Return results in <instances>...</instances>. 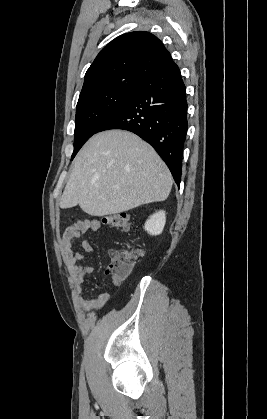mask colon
Returning a JSON list of instances; mask_svg holds the SVG:
<instances>
[{"instance_id":"obj_1","label":"colon","mask_w":267,"mask_h":419,"mask_svg":"<svg viewBox=\"0 0 267 419\" xmlns=\"http://www.w3.org/2000/svg\"><path fill=\"white\" fill-rule=\"evenodd\" d=\"M101 222L107 226L119 228L126 232L132 229V221L125 213L106 215L101 218ZM140 255V250H115L111 254L110 264L107 273L112 277H124L128 275Z\"/></svg>"}]
</instances>
